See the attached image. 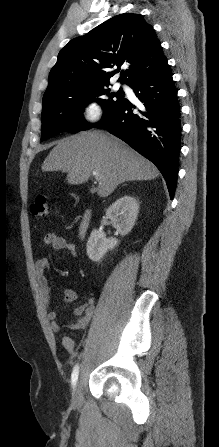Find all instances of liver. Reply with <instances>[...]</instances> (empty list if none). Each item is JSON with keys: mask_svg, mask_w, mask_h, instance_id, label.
Returning <instances> with one entry per match:
<instances>
[{"mask_svg": "<svg viewBox=\"0 0 219 447\" xmlns=\"http://www.w3.org/2000/svg\"><path fill=\"white\" fill-rule=\"evenodd\" d=\"M42 171L66 172V181L71 185L87 182L96 172L100 197H107L125 181L152 180L159 176L153 163L118 138L100 130L82 132L58 141L43 162Z\"/></svg>", "mask_w": 219, "mask_h": 447, "instance_id": "1", "label": "liver"}]
</instances>
